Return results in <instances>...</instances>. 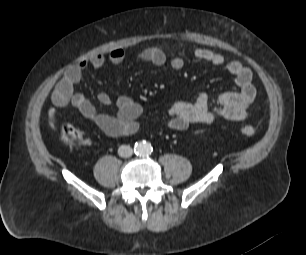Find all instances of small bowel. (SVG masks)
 <instances>
[{
	"label": "small bowel",
	"instance_id": "1",
	"mask_svg": "<svg viewBox=\"0 0 306 255\" xmlns=\"http://www.w3.org/2000/svg\"><path fill=\"white\" fill-rule=\"evenodd\" d=\"M193 56L216 67L225 68L234 77L238 89L217 96L214 100L215 108H211L212 101L207 93H200L194 102L179 101L174 103L168 110V128L174 131H184L196 123L211 124L220 119L244 120L248 115V107L256 97L251 70L237 60L227 61L222 54L210 49L197 48L193 51ZM124 58L125 52L121 48H114L107 57L103 54H95L89 59L81 60L70 66L51 94L54 107L48 111L49 126L55 128L57 125L55 108L71 105L110 137H125L136 133L139 127L138 118L143 113V107L140 103L128 96L120 95L115 100L116 113L114 115L102 114L97 112L88 98L75 92V88L87 68L100 70L106 65L107 60L113 64H119ZM137 58L155 66H162L167 62L166 53L158 47H148L141 50L138 52ZM169 64L172 69L180 70L185 65V59L181 55H176L171 58ZM98 101L102 105H109L112 98L108 93L101 92L98 95Z\"/></svg>",
	"mask_w": 306,
	"mask_h": 255
}]
</instances>
